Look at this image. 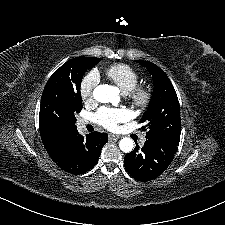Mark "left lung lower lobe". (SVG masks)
Here are the masks:
<instances>
[{"mask_svg":"<svg viewBox=\"0 0 225 225\" xmlns=\"http://www.w3.org/2000/svg\"><path fill=\"white\" fill-rule=\"evenodd\" d=\"M177 148V145L166 141L147 139L140 150L137 146L131 153L125 155V168L138 181L153 180L167 169Z\"/></svg>","mask_w":225,"mask_h":225,"instance_id":"1","label":"left lung lower lobe"}]
</instances>
